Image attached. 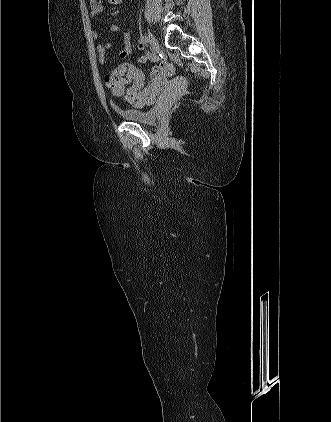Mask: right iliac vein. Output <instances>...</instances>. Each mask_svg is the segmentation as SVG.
<instances>
[{"label": "right iliac vein", "mask_w": 331, "mask_h": 422, "mask_svg": "<svg viewBox=\"0 0 331 422\" xmlns=\"http://www.w3.org/2000/svg\"><path fill=\"white\" fill-rule=\"evenodd\" d=\"M147 38L154 51H157L159 49V42L149 30L147 32Z\"/></svg>", "instance_id": "1"}]
</instances>
